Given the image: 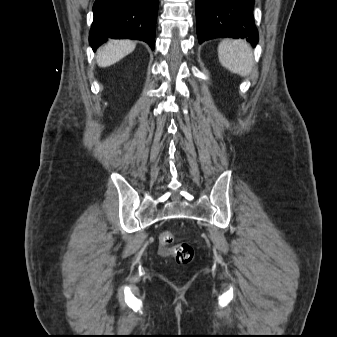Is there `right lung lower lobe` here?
<instances>
[{"label":"right lung lower lobe","instance_id":"right-lung-lower-lobe-1","mask_svg":"<svg viewBox=\"0 0 337 337\" xmlns=\"http://www.w3.org/2000/svg\"><path fill=\"white\" fill-rule=\"evenodd\" d=\"M159 0H96L89 43L95 51L109 39H138L154 49Z\"/></svg>","mask_w":337,"mask_h":337}]
</instances>
